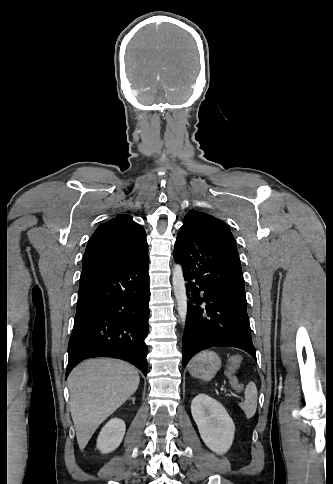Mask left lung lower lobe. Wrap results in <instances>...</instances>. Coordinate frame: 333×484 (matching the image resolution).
<instances>
[{
	"instance_id": "left-lung-lower-lobe-1",
	"label": "left lung lower lobe",
	"mask_w": 333,
	"mask_h": 484,
	"mask_svg": "<svg viewBox=\"0 0 333 484\" xmlns=\"http://www.w3.org/2000/svg\"><path fill=\"white\" fill-rule=\"evenodd\" d=\"M182 264L188 311L183 335L185 367L197 352L236 347L256 360L244 279L234 237L220 221H183L174 247Z\"/></svg>"
}]
</instances>
